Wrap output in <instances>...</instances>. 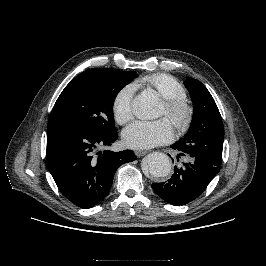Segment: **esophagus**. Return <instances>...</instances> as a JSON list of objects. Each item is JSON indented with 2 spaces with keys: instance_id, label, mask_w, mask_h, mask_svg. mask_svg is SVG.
<instances>
[{
  "instance_id": "34e87169",
  "label": "esophagus",
  "mask_w": 266,
  "mask_h": 266,
  "mask_svg": "<svg viewBox=\"0 0 266 266\" xmlns=\"http://www.w3.org/2000/svg\"><path fill=\"white\" fill-rule=\"evenodd\" d=\"M135 154H136L137 157H142L145 154H147V151H144V150H136L135 151Z\"/></svg>"
}]
</instances>
